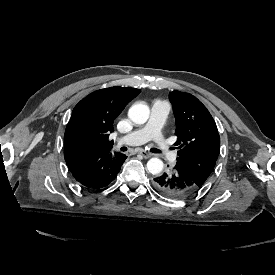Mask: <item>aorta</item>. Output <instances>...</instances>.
Returning <instances> with one entry per match:
<instances>
[{"mask_svg": "<svg viewBox=\"0 0 275 275\" xmlns=\"http://www.w3.org/2000/svg\"><path fill=\"white\" fill-rule=\"evenodd\" d=\"M150 115V109L148 105L142 102H138L133 104L129 111L128 117L136 124H144L147 122ZM164 164L162 160L158 158H151L147 162V169L148 171L153 174L157 175L162 172Z\"/></svg>", "mask_w": 275, "mask_h": 275, "instance_id": "1", "label": "aorta"}]
</instances>
